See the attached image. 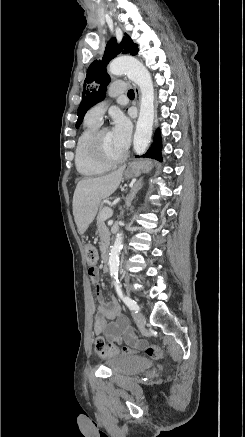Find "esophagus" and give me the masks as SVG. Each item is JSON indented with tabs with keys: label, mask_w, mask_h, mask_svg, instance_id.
I'll list each match as a JSON object with an SVG mask.
<instances>
[{
	"label": "esophagus",
	"mask_w": 245,
	"mask_h": 437,
	"mask_svg": "<svg viewBox=\"0 0 245 437\" xmlns=\"http://www.w3.org/2000/svg\"><path fill=\"white\" fill-rule=\"evenodd\" d=\"M134 90H135V100H136L137 105H139V102H140V89L137 86H135Z\"/></svg>",
	"instance_id": "obj_1"
}]
</instances>
